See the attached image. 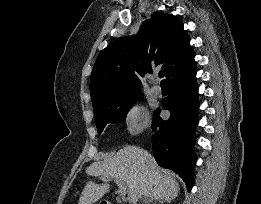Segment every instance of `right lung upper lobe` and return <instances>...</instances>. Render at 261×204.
I'll list each match as a JSON object with an SVG mask.
<instances>
[{"label":"right lung upper lobe","instance_id":"1","mask_svg":"<svg viewBox=\"0 0 261 204\" xmlns=\"http://www.w3.org/2000/svg\"><path fill=\"white\" fill-rule=\"evenodd\" d=\"M194 60V51L181 21L156 12L133 36L121 37L103 49L91 73L92 105L113 102L139 91L145 73L161 65L167 80Z\"/></svg>","mask_w":261,"mask_h":204}]
</instances>
